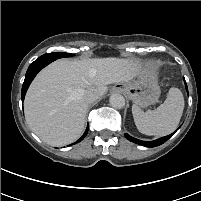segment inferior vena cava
I'll list each match as a JSON object with an SVG mask.
<instances>
[{
  "instance_id": "inferior-vena-cava-1",
  "label": "inferior vena cava",
  "mask_w": 201,
  "mask_h": 201,
  "mask_svg": "<svg viewBox=\"0 0 201 201\" xmlns=\"http://www.w3.org/2000/svg\"><path fill=\"white\" fill-rule=\"evenodd\" d=\"M98 97H99V95H98L97 91L93 88H89L84 91V99L88 103L94 102L95 100L98 99Z\"/></svg>"
}]
</instances>
